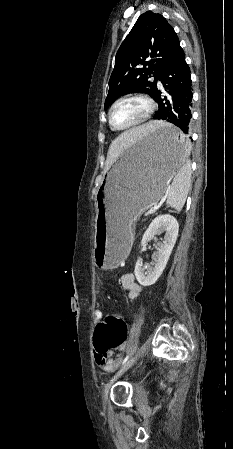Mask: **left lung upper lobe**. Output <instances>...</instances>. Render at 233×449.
<instances>
[{
  "label": "left lung upper lobe",
  "mask_w": 233,
  "mask_h": 449,
  "mask_svg": "<svg viewBox=\"0 0 233 449\" xmlns=\"http://www.w3.org/2000/svg\"><path fill=\"white\" fill-rule=\"evenodd\" d=\"M181 49L177 34L162 15L143 13L116 54L105 110L124 94L141 92L153 97L160 74ZM151 75L153 82L148 80Z\"/></svg>",
  "instance_id": "obj_1"
}]
</instances>
